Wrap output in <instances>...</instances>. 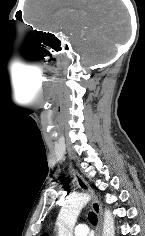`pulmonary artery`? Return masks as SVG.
<instances>
[{"instance_id": "obj_1", "label": "pulmonary artery", "mask_w": 145, "mask_h": 236, "mask_svg": "<svg viewBox=\"0 0 145 236\" xmlns=\"http://www.w3.org/2000/svg\"><path fill=\"white\" fill-rule=\"evenodd\" d=\"M88 227L85 224H79L74 229L75 236H87Z\"/></svg>"}]
</instances>
